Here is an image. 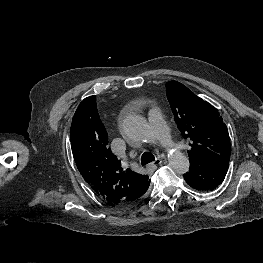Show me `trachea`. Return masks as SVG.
Masks as SVG:
<instances>
[{"mask_svg":"<svg viewBox=\"0 0 263 263\" xmlns=\"http://www.w3.org/2000/svg\"><path fill=\"white\" fill-rule=\"evenodd\" d=\"M155 160V157L150 152H144L141 156V164L142 166H145L146 164L152 162Z\"/></svg>","mask_w":263,"mask_h":263,"instance_id":"3493384b","label":"trachea"}]
</instances>
